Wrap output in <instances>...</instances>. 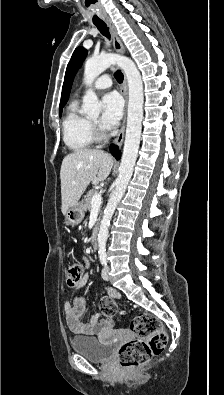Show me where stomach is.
<instances>
[{
	"label": "stomach",
	"mask_w": 224,
	"mask_h": 395,
	"mask_svg": "<svg viewBox=\"0 0 224 395\" xmlns=\"http://www.w3.org/2000/svg\"><path fill=\"white\" fill-rule=\"evenodd\" d=\"M85 216V206L83 202H77L75 205L70 207L65 214V225L68 227H74L78 225Z\"/></svg>",
	"instance_id": "1"
}]
</instances>
